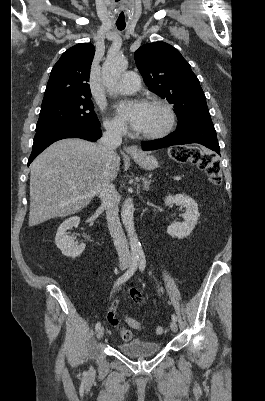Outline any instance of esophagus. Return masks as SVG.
I'll use <instances>...</instances> for the list:
<instances>
[{
    "label": "esophagus",
    "mask_w": 265,
    "mask_h": 401,
    "mask_svg": "<svg viewBox=\"0 0 265 401\" xmlns=\"http://www.w3.org/2000/svg\"><path fill=\"white\" fill-rule=\"evenodd\" d=\"M125 150L127 151V153H129L131 156H134L135 154L138 153V148L137 146H126Z\"/></svg>",
    "instance_id": "1"
}]
</instances>
